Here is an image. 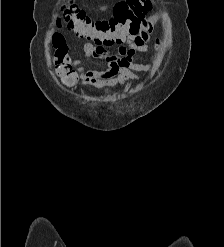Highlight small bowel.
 Instances as JSON below:
<instances>
[{
	"mask_svg": "<svg viewBox=\"0 0 224 247\" xmlns=\"http://www.w3.org/2000/svg\"><path fill=\"white\" fill-rule=\"evenodd\" d=\"M159 20L160 15L153 14L142 22L136 33L128 34L113 42L88 41L84 45L83 58L74 61V63L80 65L89 58H96L104 60L107 63V68L87 71L83 76V82L97 89H104L139 81L140 78L135 72H151L153 70L152 64L138 63L134 57L138 52L164 48V43L158 38L151 42L154 25ZM54 25L57 31L52 34L51 43L56 49V59L58 62L70 64L72 61L69 57L68 45L64 36L58 31L62 27V19L59 14L54 17ZM114 45L117 46V50L112 52L109 47Z\"/></svg>",
	"mask_w": 224,
	"mask_h": 247,
	"instance_id": "obj_1",
	"label": "small bowel"
}]
</instances>
